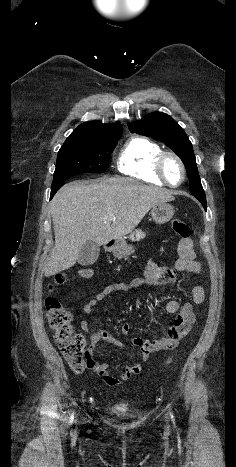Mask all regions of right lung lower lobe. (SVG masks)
<instances>
[{"label":"right lung lower lobe","mask_w":236,"mask_h":467,"mask_svg":"<svg viewBox=\"0 0 236 467\" xmlns=\"http://www.w3.org/2000/svg\"><path fill=\"white\" fill-rule=\"evenodd\" d=\"M64 185V183H60V184H57V185H52L51 186V195H50V198H52L55 193Z\"/></svg>","instance_id":"1"}]
</instances>
